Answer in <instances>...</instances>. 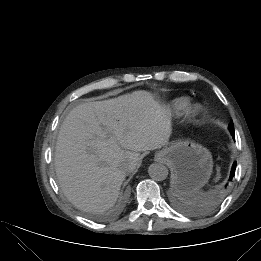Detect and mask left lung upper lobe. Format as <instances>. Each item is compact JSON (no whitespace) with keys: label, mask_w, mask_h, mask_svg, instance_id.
I'll use <instances>...</instances> for the list:
<instances>
[{"label":"left lung upper lobe","mask_w":261,"mask_h":261,"mask_svg":"<svg viewBox=\"0 0 261 261\" xmlns=\"http://www.w3.org/2000/svg\"><path fill=\"white\" fill-rule=\"evenodd\" d=\"M234 127L233 122L231 121L228 127Z\"/></svg>","instance_id":"left-lung-upper-lobe-1"}]
</instances>
